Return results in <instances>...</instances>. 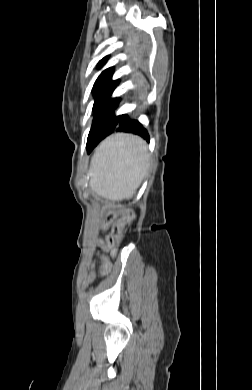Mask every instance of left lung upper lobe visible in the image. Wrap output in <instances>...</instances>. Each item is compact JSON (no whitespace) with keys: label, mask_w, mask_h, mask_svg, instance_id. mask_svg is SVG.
<instances>
[{"label":"left lung upper lobe","mask_w":252,"mask_h":390,"mask_svg":"<svg viewBox=\"0 0 252 390\" xmlns=\"http://www.w3.org/2000/svg\"><path fill=\"white\" fill-rule=\"evenodd\" d=\"M107 60V57H104L98 64V67H101ZM113 67H110L104 70L93 86V94L95 97V102L93 105V111L96 112L94 119L103 116L105 114H111L115 119L113 110L118 106L119 99L111 98V94L114 91L115 87L118 85L119 80L112 81Z\"/></svg>","instance_id":"obj_1"}]
</instances>
